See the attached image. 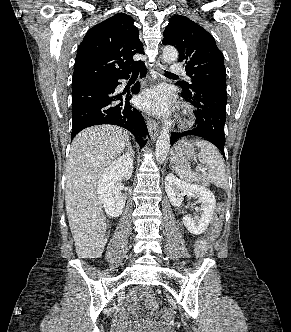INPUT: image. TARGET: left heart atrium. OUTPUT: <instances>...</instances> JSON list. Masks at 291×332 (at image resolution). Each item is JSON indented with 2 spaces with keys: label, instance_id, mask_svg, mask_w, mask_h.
I'll return each instance as SVG.
<instances>
[{
  "label": "left heart atrium",
  "instance_id": "left-heart-atrium-1",
  "mask_svg": "<svg viewBox=\"0 0 291 332\" xmlns=\"http://www.w3.org/2000/svg\"><path fill=\"white\" fill-rule=\"evenodd\" d=\"M138 102L142 108L162 114L172 104V96L165 87H157L141 94Z\"/></svg>",
  "mask_w": 291,
  "mask_h": 332
}]
</instances>
